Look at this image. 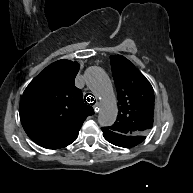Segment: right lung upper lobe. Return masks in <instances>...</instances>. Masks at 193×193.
<instances>
[{
	"instance_id": "cb5924a9",
	"label": "right lung upper lobe",
	"mask_w": 193,
	"mask_h": 193,
	"mask_svg": "<svg viewBox=\"0 0 193 193\" xmlns=\"http://www.w3.org/2000/svg\"><path fill=\"white\" fill-rule=\"evenodd\" d=\"M79 64L59 60L46 67L24 91L20 119L27 135L38 145L58 149L71 144L87 118L86 105L74 79Z\"/></svg>"
}]
</instances>
